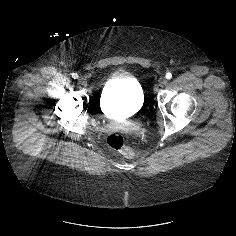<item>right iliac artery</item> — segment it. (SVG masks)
<instances>
[{"instance_id": "obj_1", "label": "right iliac artery", "mask_w": 236, "mask_h": 236, "mask_svg": "<svg viewBox=\"0 0 236 236\" xmlns=\"http://www.w3.org/2000/svg\"><path fill=\"white\" fill-rule=\"evenodd\" d=\"M72 77H73L74 79H76V78H78V74H77V73H73V74H72Z\"/></svg>"}]
</instances>
